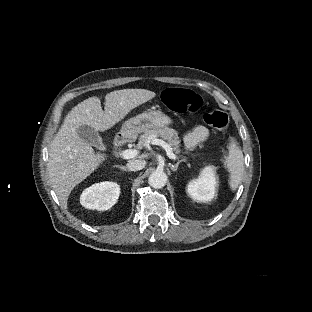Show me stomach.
<instances>
[{"mask_svg": "<svg viewBox=\"0 0 312 312\" xmlns=\"http://www.w3.org/2000/svg\"><path fill=\"white\" fill-rule=\"evenodd\" d=\"M175 122L172 117L160 110H149L127 120L120 134L124 138L134 139L137 134L155 128H167Z\"/></svg>", "mask_w": 312, "mask_h": 312, "instance_id": "obj_1", "label": "stomach"}]
</instances>
